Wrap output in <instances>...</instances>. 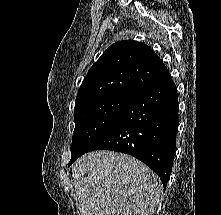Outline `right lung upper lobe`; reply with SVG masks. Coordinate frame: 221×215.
<instances>
[{"mask_svg":"<svg viewBox=\"0 0 221 215\" xmlns=\"http://www.w3.org/2000/svg\"><path fill=\"white\" fill-rule=\"evenodd\" d=\"M169 74L146 44L126 40L112 44L90 68L75 104L107 96L133 98Z\"/></svg>","mask_w":221,"mask_h":215,"instance_id":"obj_1","label":"right lung upper lobe"}]
</instances>
